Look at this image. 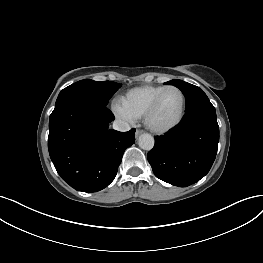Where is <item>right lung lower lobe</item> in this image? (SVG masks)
Wrapping results in <instances>:
<instances>
[{
    "label": "right lung lower lobe",
    "instance_id": "obj_1",
    "mask_svg": "<svg viewBox=\"0 0 263 263\" xmlns=\"http://www.w3.org/2000/svg\"><path fill=\"white\" fill-rule=\"evenodd\" d=\"M114 120L103 105L68 102L54 109L49 120L48 150L61 178L83 192H97L115 178L135 129H108Z\"/></svg>",
    "mask_w": 263,
    "mask_h": 263
}]
</instances>
